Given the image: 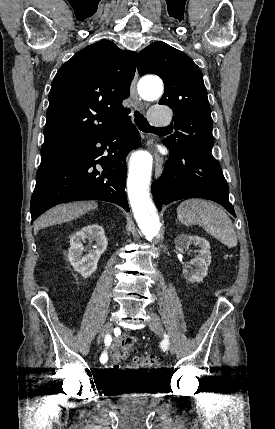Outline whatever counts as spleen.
Wrapping results in <instances>:
<instances>
[{"instance_id": "1", "label": "spleen", "mask_w": 275, "mask_h": 429, "mask_svg": "<svg viewBox=\"0 0 275 429\" xmlns=\"http://www.w3.org/2000/svg\"><path fill=\"white\" fill-rule=\"evenodd\" d=\"M177 218L185 226L199 225L228 247L237 245V236L228 215L216 204L202 199H188L177 208Z\"/></svg>"}]
</instances>
